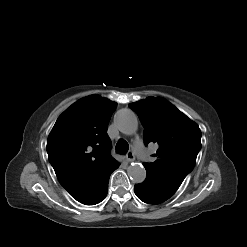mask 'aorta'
<instances>
[{
  "label": "aorta",
  "mask_w": 247,
  "mask_h": 247,
  "mask_svg": "<svg viewBox=\"0 0 247 247\" xmlns=\"http://www.w3.org/2000/svg\"><path fill=\"white\" fill-rule=\"evenodd\" d=\"M115 124L120 132L131 135L138 128L136 114L130 109H123L116 113ZM130 179L134 183H142L146 178V170L142 164L133 163L127 169Z\"/></svg>",
  "instance_id": "aorta-1"
}]
</instances>
